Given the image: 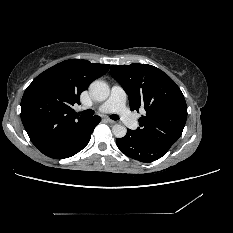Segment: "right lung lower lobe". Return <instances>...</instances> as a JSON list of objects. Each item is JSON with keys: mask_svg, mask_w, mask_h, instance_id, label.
I'll list each match as a JSON object with an SVG mask.
<instances>
[{"mask_svg": "<svg viewBox=\"0 0 233 233\" xmlns=\"http://www.w3.org/2000/svg\"><path fill=\"white\" fill-rule=\"evenodd\" d=\"M99 122V116L86 118L58 144L41 152L53 159H64L75 155L89 143L91 134Z\"/></svg>", "mask_w": 233, "mask_h": 233, "instance_id": "right-lung-lower-lobe-1", "label": "right lung lower lobe"}]
</instances>
